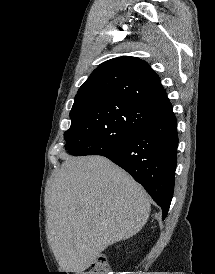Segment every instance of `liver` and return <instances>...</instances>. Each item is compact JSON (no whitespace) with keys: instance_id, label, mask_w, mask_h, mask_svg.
<instances>
[{"instance_id":"liver-1","label":"liver","mask_w":215,"mask_h":274,"mask_svg":"<svg viewBox=\"0 0 215 274\" xmlns=\"http://www.w3.org/2000/svg\"><path fill=\"white\" fill-rule=\"evenodd\" d=\"M146 191L102 156H67L48 208L49 243L62 270L82 274L109 245L136 235L148 220Z\"/></svg>"}]
</instances>
